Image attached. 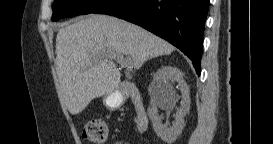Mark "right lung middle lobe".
I'll return each instance as SVG.
<instances>
[{
  "label": "right lung middle lobe",
  "instance_id": "1",
  "mask_svg": "<svg viewBox=\"0 0 273 144\" xmlns=\"http://www.w3.org/2000/svg\"><path fill=\"white\" fill-rule=\"evenodd\" d=\"M109 0H55L52 9V20L57 21L65 17L93 13L98 7Z\"/></svg>",
  "mask_w": 273,
  "mask_h": 144
}]
</instances>
